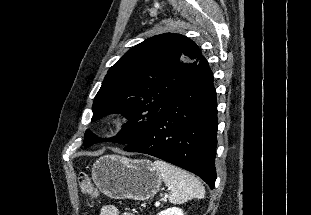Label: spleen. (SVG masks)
<instances>
[{"label":"spleen","instance_id":"obj_1","mask_svg":"<svg viewBox=\"0 0 311 215\" xmlns=\"http://www.w3.org/2000/svg\"><path fill=\"white\" fill-rule=\"evenodd\" d=\"M153 165L170 189L169 201L171 203L182 204L193 198H204L205 188L192 174L162 160H155Z\"/></svg>","mask_w":311,"mask_h":215}]
</instances>
